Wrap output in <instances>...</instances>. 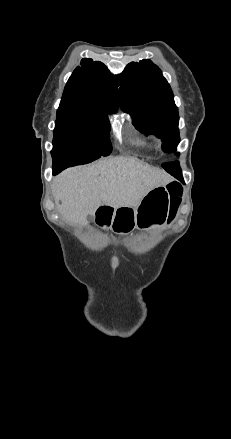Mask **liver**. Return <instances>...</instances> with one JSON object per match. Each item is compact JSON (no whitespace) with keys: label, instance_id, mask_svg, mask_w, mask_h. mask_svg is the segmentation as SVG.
<instances>
[{"label":"liver","instance_id":"6515ba94","mask_svg":"<svg viewBox=\"0 0 231 439\" xmlns=\"http://www.w3.org/2000/svg\"><path fill=\"white\" fill-rule=\"evenodd\" d=\"M171 180L164 170L114 157L65 170L55 178L52 191L61 215L72 224L85 225L88 215H94L102 204L114 209L136 207L150 190Z\"/></svg>","mask_w":231,"mask_h":439}]
</instances>
